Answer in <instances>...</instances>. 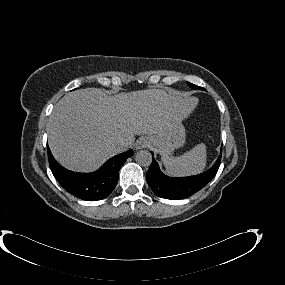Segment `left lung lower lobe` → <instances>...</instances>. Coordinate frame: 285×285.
I'll return each instance as SVG.
<instances>
[{"instance_id":"0a47b994","label":"left lung lower lobe","mask_w":285,"mask_h":285,"mask_svg":"<svg viewBox=\"0 0 285 285\" xmlns=\"http://www.w3.org/2000/svg\"><path fill=\"white\" fill-rule=\"evenodd\" d=\"M153 155V154H152ZM221 161V155L208 171L190 177L173 178L164 175L153 158L152 164L146 174V180L154 193L162 198L178 200L185 199L209 183L216 175Z\"/></svg>"}]
</instances>
